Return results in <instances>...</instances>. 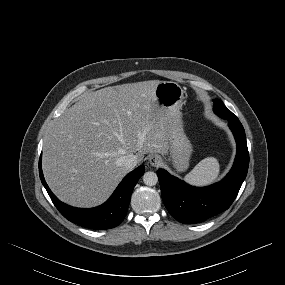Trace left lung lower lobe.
<instances>
[{
  "label": "left lung lower lobe",
  "instance_id": "0a47b994",
  "mask_svg": "<svg viewBox=\"0 0 285 285\" xmlns=\"http://www.w3.org/2000/svg\"><path fill=\"white\" fill-rule=\"evenodd\" d=\"M226 120L236 139L237 154L232 169L222 181L207 187H193L163 169L157 171L163 202L181 223H200L227 210L247 175L249 153L244 128L239 119Z\"/></svg>",
  "mask_w": 285,
  "mask_h": 285
}]
</instances>
